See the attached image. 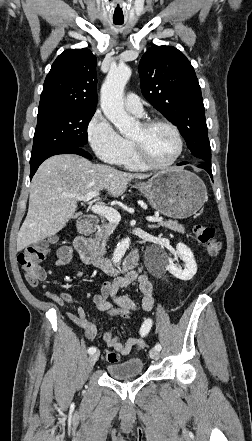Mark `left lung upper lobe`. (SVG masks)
I'll list each match as a JSON object with an SVG mask.
<instances>
[{
  "instance_id": "obj_1",
  "label": "left lung upper lobe",
  "mask_w": 252,
  "mask_h": 441,
  "mask_svg": "<svg viewBox=\"0 0 252 441\" xmlns=\"http://www.w3.org/2000/svg\"><path fill=\"white\" fill-rule=\"evenodd\" d=\"M144 97L180 130L192 154L211 162L201 88L194 68L172 46H152L139 63Z\"/></svg>"
}]
</instances>
